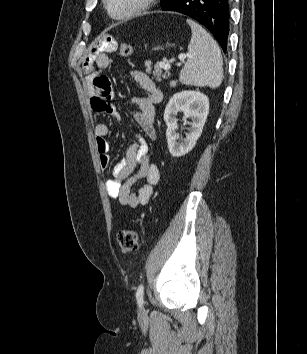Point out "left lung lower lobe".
Returning a JSON list of instances; mask_svg holds the SVG:
<instances>
[{
  "label": "left lung lower lobe",
  "instance_id": "0a47b994",
  "mask_svg": "<svg viewBox=\"0 0 307 354\" xmlns=\"http://www.w3.org/2000/svg\"><path fill=\"white\" fill-rule=\"evenodd\" d=\"M165 11H177L194 18L216 38L224 52L229 33V0H170Z\"/></svg>",
  "mask_w": 307,
  "mask_h": 354
}]
</instances>
